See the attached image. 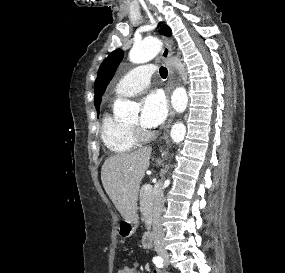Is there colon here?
Wrapping results in <instances>:
<instances>
[{
  "mask_svg": "<svg viewBox=\"0 0 285 273\" xmlns=\"http://www.w3.org/2000/svg\"><path fill=\"white\" fill-rule=\"evenodd\" d=\"M133 269L126 267V266H122L118 269V273H132Z\"/></svg>",
  "mask_w": 285,
  "mask_h": 273,
  "instance_id": "colon-1",
  "label": "colon"
}]
</instances>
